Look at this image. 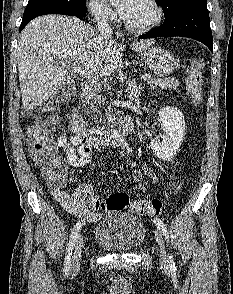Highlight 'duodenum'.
I'll use <instances>...</instances> for the list:
<instances>
[{
  "mask_svg": "<svg viewBox=\"0 0 233 294\" xmlns=\"http://www.w3.org/2000/svg\"><path fill=\"white\" fill-rule=\"evenodd\" d=\"M70 117L74 133L91 146H114L118 143V138L115 133L98 128H88L83 119L75 112ZM132 131L133 122L131 118H128L124 121L117 133L121 136H126L131 134Z\"/></svg>",
  "mask_w": 233,
  "mask_h": 294,
  "instance_id": "410a0bca",
  "label": "duodenum"
}]
</instances>
